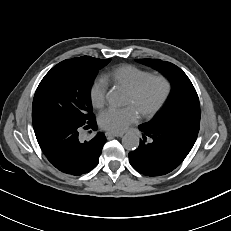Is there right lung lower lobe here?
<instances>
[{
    "label": "right lung lower lobe",
    "instance_id": "1",
    "mask_svg": "<svg viewBox=\"0 0 231 231\" xmlns=\"http://www.w3.org/2000/svg\"><path fill=\"white\" fill-rule=\"evenodd\" d=\"M37 141L48 161L58 170L81 175L99 162L106 138L98 132L90 141L79 140L82 128L96 130V121L76 127L62 122L47 121L33 126Z\"/></svg>",
    "mask_w": 231,
    "mask_h": 231
}]
</instances>
